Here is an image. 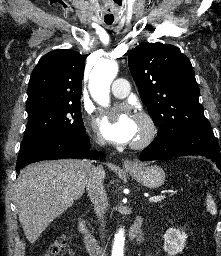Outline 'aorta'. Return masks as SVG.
I'll return each instance as SVG.
<instances>
[{
  "mask_svg": "<svg viewBox=\"0 0 221 256\" xmlns=\"http://www.w3.org/2000/svg\"><path fill=\"white\" fill-rule=\"evenodd\" d=\"M118 73V65L115 61L101 60L90 73L89 91L93 99L102 106L110 103V85ZM124 232L119 230L115 234L112 248V256H123Z\"/></svg>",
  "mask_w": 221,
  "mask_h": 256,
  "instance_id": "obj_1",
  "label": "aorta"
}]
</instances>
